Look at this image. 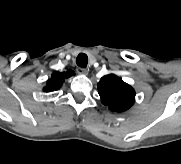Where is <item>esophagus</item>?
<instances>
[{"label": "esophagus", "instance_id": "34e87169", "mask_svg": "<svg viewBox=\"0 0 181 164\" xmlns=\"http://www.w3.org/2000/svg\"><path fill=\"white\" fill-rule=\"evenodd\" d=\"M77 72L81 75H88V70L85 68H78Z\"/></svg>", "mask_w": 181, "mask_h": 164}]
</instances>
